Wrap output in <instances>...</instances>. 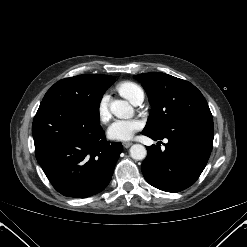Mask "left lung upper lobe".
Instances as JSON below:
<instances>
[{
	"label": "left lung upper lobe",
	"mask_w": 247,
	"mask_h": 247,
	"mask_svg": "<svg viewBox=\"0 0 247 247\" xmlns=\"http://www.w3.org/2000/svg\"><path fill=\"white\" fill-rule=\"evenodd\" d=\"M135 78L141 82L154 109L143 132L164 134L191 118L211 115L202 93L188 81L165 73H144Z\"/></svg>",
	"instance_id": "5c2ea615"
}]
</instances>
